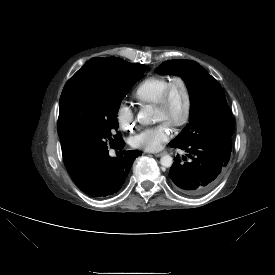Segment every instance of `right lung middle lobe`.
<instances>
[{
  "label": "right lung middle lobe",
  "mask_w": 275,
  "mask_h": 275,
  "mask_svg": "<svg viewBox=\"0 0 275 275\" xmlns=\"http://www.w3.org/2000/svg\"><path fill=\"white\" fill-rule=\"evenodd\" d=\"M146 70L143 64L94 70L83 83L65 85L59 103L58 132L62 146L76 160L99 158L107 152L109 143L115 147L121 142L113 136L118 128L119 105Z\"/></svg>",
  "instance_id": "obj_1"
}]
</instances>
